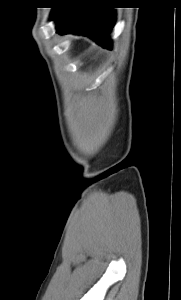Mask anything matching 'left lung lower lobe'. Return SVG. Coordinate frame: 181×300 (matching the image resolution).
<instances>
[{
	"instance_id": "0a47b994",
	"label": "left lung lower lobe",
	"mask_w": 181,
	"mask_h": 300,
	"mask_svg": "<svg viewBox=\"0 0 181 300\" xmlns=\"http://www.w3.org/2000/svg\"><path fill=\"white\" fill-rule=\"evenodd\" d=\"M52 19L60 34L76 33L93 38L102 47L111 49L109 34L115 21L112 7L102 0H70L53 8Z\"/></svg>"
}]
</instances>
